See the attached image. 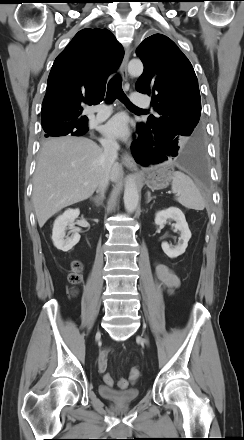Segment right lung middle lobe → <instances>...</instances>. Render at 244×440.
I'll list each match as a JSON object with an SVG mask.
<instances>
[{"instance_id":"1","label":"right lung middle lobe","mask_w":244,"mask_h":440,"mask_svg":"<svg viewBox=\"0 0 244 440\" xmlns=\"http://www.w3.org/2000/svg\"><path fill=\"white\" fill-rule=\"evenodd\" d=\"M42 127L45 131V137L73 135L80 136L87 132V125H74L62 121H52Z\"/></svg>"}]
</instances>
